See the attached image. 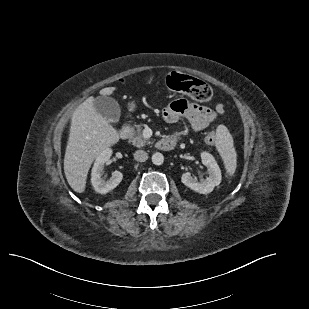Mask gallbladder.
I'll return each mask as SVG.
<instances>
[{"label": "gallbladder", "mask_w": 309, "mask_h": 309, "mask_svg": "<svg viewBox=\"0 0 309 309\" xmlns=\"http://www.w3.org/2000/svg\"><path fill=\"white\" fill-rule=\"evenodd\" d=\"M93 106L97 113L107 121L117 123L120 118V106L115 99L107 96H98L94 99Z\"/></svg>", "instance_id": "bac80fb5"}]
</instances>
